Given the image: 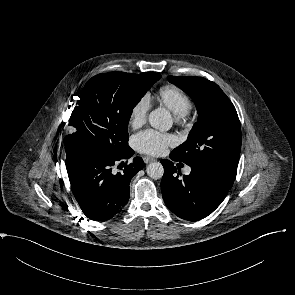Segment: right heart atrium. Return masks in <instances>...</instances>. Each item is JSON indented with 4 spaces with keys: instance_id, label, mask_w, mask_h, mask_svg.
I'll use <instances>...</instances> for the list:
<instances>
[{
    "instance_id": "d8ad5b80",
    "label": "right heart atrium",
    "mask_w": 295,
    "mask_h": 295,
    "mask_svg": "<svg viewBox=\"0 0 295 295\" xmlns=\"http://www.w3.org/2000/svg\"><path fill=\"white\" fill-rule=\"evenodd\" d=\"M150 98L148 95H142L131 106L129 112V125L133 129L140 128L145 124L150 109Z\"/></svg>"
}]
</instances>
